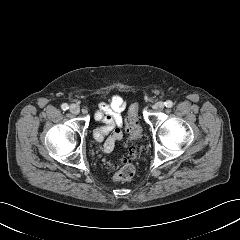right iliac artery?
I'll use <instances>...</instances> for the list:
<instances>
[{
	"mask_svg": "<svg viewBox=\"0 0 240 240\" xmlns=\"http://www.w3.org/2000/svg\"><path fill=\"white\" fill-rule=\"evenodd\" d=\"M61 108H62V110H67V109H69V106H68V104L67 103H63L62 105H61Z\"/></svg>",
	"mask_w": 240,
	"mask_h": 240,
	"instance_id": "right-iliac-artery-1",
	"label": "right iliac artery"
}]
</instances>
